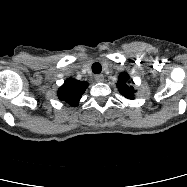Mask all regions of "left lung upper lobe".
Masks as SVG:
<instances>
[{
  "label": "left lung upper lobe",
  "mask_w": 187,
  "mask_h": 187,
  "mask_svg": "<svg viewBox=\"0 0 187 187\" xmlns=\"http://www.w3.org/2000/svg\"><path fill=\"white\" fill-rule=\"evenodd\" d=\"M119 91L128 99H134V93L136 92L132 85H130V77L127 73H121L119 75L118 84Z\"/></svg>",
  "instance_id": "left-lung-upper-lobe-1"
}]
</instances>
